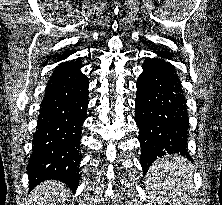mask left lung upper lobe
Segmentation results:
<instances>
[{
	"label": "left lung upper lobe",
	"mask_w": 222,
	"mask_h": 205,
	"mask_svg": "<svg viewBox=\"0 0 222 205\" xmlns=\"http://www.w3.org/2000/svg\"><path fill=\"white\" fill-rule=\"evenodd\" d=\"M161 154H162V152H158V153H157V156L159 157V156H161ZM157 156H156V157H157Z\"/></svg>",
	"instance_id": "obj_1"
}]
</instances>
